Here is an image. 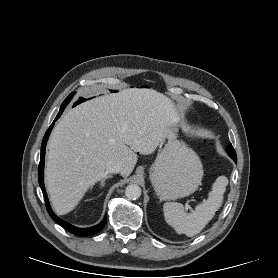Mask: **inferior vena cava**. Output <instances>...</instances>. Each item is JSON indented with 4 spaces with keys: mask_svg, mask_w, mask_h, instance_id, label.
<instances>
[{
    "mask_svg": "<svg viewBox=\"0 0 278 278\" xmlns=\"http://www.w3.org/2000/svg\"><path fill=\"white\" fill-rule=\"evenodd\" d=\"M123 169V165L119 161H110L106 166V173H119Z\"/></svg>",
    "mask_w": 278,
    "mask_h": 278,
    "instance_id": "inferior-vena-cava-1",
    "label": "inferior vena cava"
}]
</instances>
